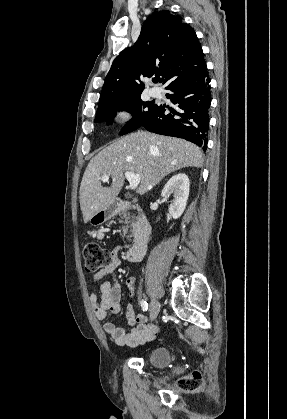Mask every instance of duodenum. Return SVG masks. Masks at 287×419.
Masks as SVG:
<instances>
[{
  "label": "duodenum",
  "mask_w": 287,
  "mask_h": 419,
  "mask_svg": "<svg viewBox=\"0 0 287 419\" xmlns=\"http://www.w3.org/2000/svg\"><path fill=\"white\" fill-rule=\"evenodd\" d=\"M111 208L113 212L140 210L136 203L126 199H115ZM151 232V222L148 217L142 214L139 218L138 226L135 231L133 245L126 252V258L128 261H138L142 258L146 249V244L151 236Z\"/></svg>",
  "instance_id": "obj_1"
}]
</instances>
